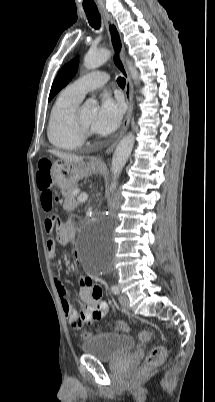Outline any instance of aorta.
Wrapping results in <instances>:
<instances>
[{"instance_id": "762f6f07", "label": "aorta", "mask_w": 215, "mask_h": 402, "mask_svg": "<svg viewBox=\"0 0 215 402\" xmlns=\"http://www.w3.org/2000/svg\"><path fill=\"white\" fill-rule=\"evenodd\" d=\"M110 51L107 49H100L94 52H88L84 58V66L87 69H96L103 65L109 58H110ZM129 72L135 81L138 83V71L133 66L132 62L127 61ZM88 104L95 105L97 103L94 99H89L87 101ZM135 137L132 132L125 135L120 142L118 143L113 157H112V164H111V172H112V183L110 186V190L113 192L117 186V179L122 172L134 146ZM85 265L87 267L94 266L98 268L100 266V254H97L94 258L86 257L85 258Z\"/></svg>"}]
</instances>
